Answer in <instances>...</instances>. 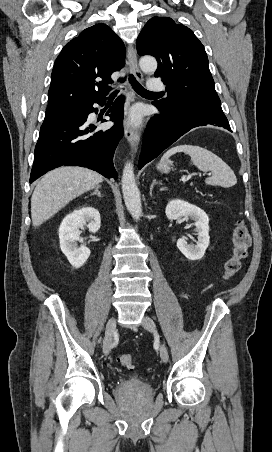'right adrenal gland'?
Returning a JSON list of instances; mask_svg holds the SVG:
<instances>
[{"label":"right adrenal gland","mask_w":272,"mask_h":452,"mask_svg":"<svg viewBox=\"0 0 272 452\" xmlns=\"http://www.w3.org/2000/svg\"><path fill=\"white\" fill-rule=\"evenodd\" d=\"M99 189H100V185L96 186L92 195H97V196L101 197V193H100Z\"/></svg>","instance_id":"right-adrenal-gland-1"}]
</instances>
